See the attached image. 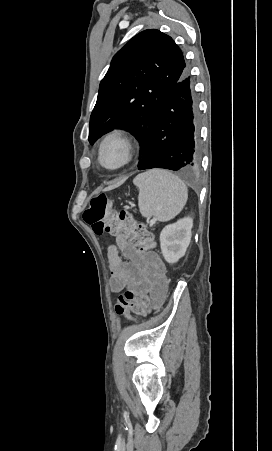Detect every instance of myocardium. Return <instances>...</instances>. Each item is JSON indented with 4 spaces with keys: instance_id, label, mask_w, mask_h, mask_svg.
<instances>
[{
    "instance_id": "myocardium-1",
    "label": "myocardium",
    "mask_w": 272,
    "mask_h": 451,
    "mask_svg": "<svg viewBox=\"0 0 272 451\" xmlns=\"http://www.w3.org/2000/svg\"><path fill=\"white\" fill-rule=\"evenodd\" d=\"M109 146H116L120 148L124 154V160L121 165H119L116 168H108L111 171H119L126 167L131 159H132V148L129 140L125 138L120 132L113 131L109 134H107L104 139L101 141L98 152H97V164L101 167H105L102 163V154L104 150ZM107 168V167H106Z\"/></svg>"
}]
</instances>
